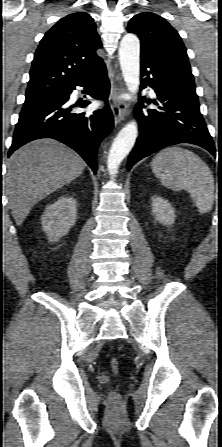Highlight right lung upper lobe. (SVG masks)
<instances>
[{
	"mask_svg": "<svg viewBox=\"0 0 222 447\" xmlns=\"http://www.w3.org/2000/svg\"><path fill=\"white\" fill-rule=\"evenodd\" d=\"M102 47L93 18L85 12L67 15L42 38L30 71L26 97L62 94L102 63Z\"/></svg>",
	"mask_w": 222,
	"mask_h": 447,
	"instance_id": "cb5924a9",
	"label": "right lung upper lobe"
}]
</instances>
